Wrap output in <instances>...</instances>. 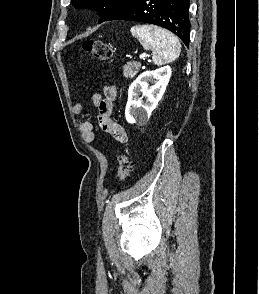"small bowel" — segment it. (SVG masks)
I'll return each instance as SVG.
<instances>
[{"label": "small bowel", "instance_id": "1", "mask_svg": "<svg viewBox=\"0 0 259 294\" xmlns=\"http://www.w3.org/2000/svg\"><path fill=\"white\" fill-rule=\"evenodd\" d=\"M116 98V89L113 86L104 87L102 92L95 93L92 96V102L97 110V119L102 130L112 136L119 143H126L128 136L124 128L119 125L112 117L113 102ZM72 112L75 115H82L84 107L81 103L76 102L72 106ZM78 129L87 142H93L95 133L93 125L86 120L78 122Z\"/></svg>", "mask_w": 259, "mask_h": 294}]
</instances>
